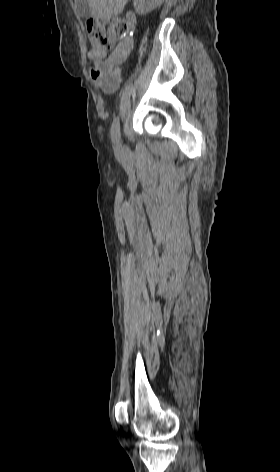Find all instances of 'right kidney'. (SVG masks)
<instances>
[{"label":"right kidney","instance_id":"ca27d5eb","mask_svg":"<svg viewBox=\"0 0 280 472\" xmlns=\"http://www.w3.org/2000/svg\"><path fill=\"white\" fill-rule=\"evenodd\" d=\"M162 0H134V8L139 14H147L161 4Z\"/></svg>","mask_w":280,"mask_h":472}]
</instances>
